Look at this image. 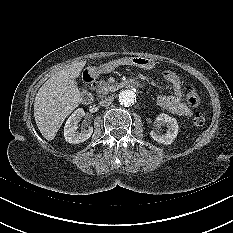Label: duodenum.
<instances>
[{"label":"duodenum","mask_w":233,"mask_h":233,"mask_svg":"<svg viewBox=\"0 0 233 233\" xmlns=\"http://www.w3.org/2000/svg\"><path fill=\"white\" fill-rule=\"evenodd\" d=\"M97 79V73L96 72H88L83 77V82L85 85V90L82 93V103L85 105H89L93 101V94L90 90V87ZM129 86H140L138 82H129L127 80H123L118 83L110 84L107 87L104 88L105 94H110L118 91H122L124 89L129 88Z\"/></svg>","instance_id":"410a0bca"}]
</instances>
